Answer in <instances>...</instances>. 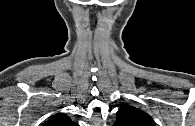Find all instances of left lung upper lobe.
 <instances>
[{
	"label": "left lung upper lobe",
	"instance_id": "left-lung-upper-lobe-1",
	"mask_svg": "<svg viewBox=\"0 0 195 126\" xmlns=\"http://www.w3.org/2000/svg\"><path fill=\"white\" fill-rule=\"evenodd\" d=\"M116 114L115 126H155L149 114L127 103L122 104Z\"/></svg>",
	"mask_w": 195,
	"mask_h": 126
}]
</instances>
